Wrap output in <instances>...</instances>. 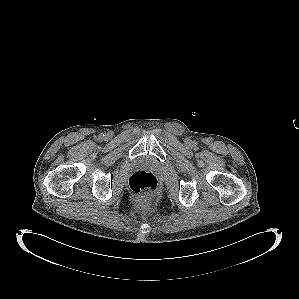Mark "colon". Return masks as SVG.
<instances>
[{
	"instance_id": "colon-1",
	"label": "colon",
	"mask_w": 299,
	"mask_h": 299,
	"mask_svg": "<svg viewBox=\"0 0 299 299\" xmlns=\"http://www.w3.org/2000/svg\"><path fill=\"white\" fill-rule=\"evenodd\" d=\"M158 186L156 176L148 171H137L133 173L128 180V187L131 193L142 203H145L150 194Z\"/></svg>"
}]
</instances>
